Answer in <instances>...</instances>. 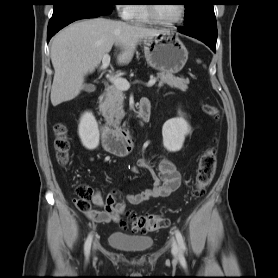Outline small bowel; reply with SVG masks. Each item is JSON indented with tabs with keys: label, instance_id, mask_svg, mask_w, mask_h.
Listing matches in <instances>:
<instances>
[{
	"label": "small bowel",
	"instance_id": "c3829d8e",
	"mask_svg": "<svg viewBox=\"0 0 278 278\" xmlns=\"http://www.w3.org/2000/svg\"><path fill=\"white\" fill-rule=\"evenodd\" d=\"M143 169L149 172L151 187L139 192L123 195L119 190L114 189L104 199L102 193L96 190L91 198V203L97 208H92L89 202H76L78 209L88 219L96 223H117L125 213L127 203L138 205L152 198L167 197L175 192L181 184V175L175 164L162 158L155 169L147 160H139L131 168L133 173H139Z\"/></svg>",
	"mask_w": 278,
	"mask_h": 278
}]
</instances>
